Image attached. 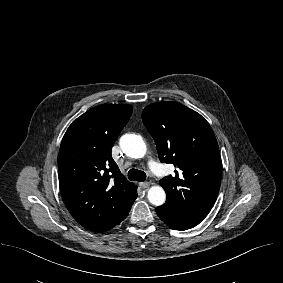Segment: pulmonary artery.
Listing matches in <instances>:
<instances>
[{"instance_id": "1", "label": "pulmonary artery", "mask_w": 283, "mask_h": 283, "mask_svg": "<svg viewBox=\"0 0 283 283\" xmlns=\"http://www.w3.org/2000/svg\"><path fill=\"white\" fill-rule=\"evenodd\" d=\"M158 163L154 160L149 161V167L151 169V171L157 175H160L161 172L159 171V167H158Z\"/></svg>"}]
</instances>
